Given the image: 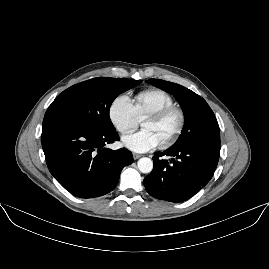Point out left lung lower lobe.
I'll return each mask as SVG.
<instances>
[{"label": "left lung lower lobe", "instance_id": "1", "mask_svg": "<svg viewBox=\"0 0 269 269\" xmlns=\"http://www.w3.org/2000/svg\"><path fill=\"white\" fill-rule=\"evenodd\" d=\"M220 149L209 145L171 146L153 156V171L143 181L147 192L157 199L183 202L212 178ZM171 160H163L162 156Z\"/></svg>", "mask_w": 269, "mask_h": 269}]
</instances>
